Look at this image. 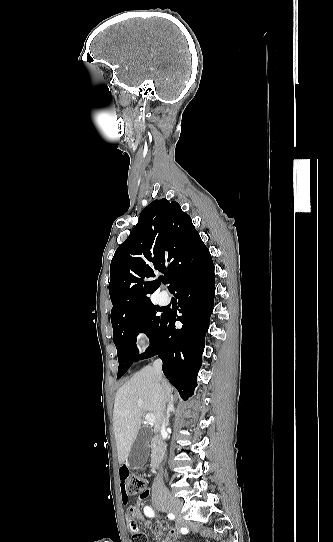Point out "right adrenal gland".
I'll return each instance as SVG.
<instances>
[{"instance_id":"right-adrenal-gland-1","label":"right adrenal gland","mask_w":333,"mask_h":542,"mask_svg":"<svg viewBox=\"0 0 333 542\" xmlns=\"http://www.w3.org/2000/svg\"><path fill=\"white\" fill-rule=\"evenodd\" d=\"M171 412H175V408H174V402H169L168 404V408H167V412H166V422L169 426V418L171 416Z\"/></svg>"}]
</instances>
